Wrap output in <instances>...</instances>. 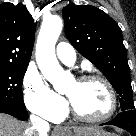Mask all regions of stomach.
I'll return each instance as SVG.
<instances>
[{
    "label": "stomach",
    "instance_id": "stomach-1",
    "mask_svg": "<svg viewBox=\"0 0 136 136\" xmlns=\"http://www.w3.org/2000/svg\"><path fill=\"white\" fill-rule=\"evenodd\" d=\"M59 136H113L112 134L110 133H107L103 130H100V129H94L90 132H86V133H74L72 134L71 132L67 131V132H64L62 134H59Z\"/></svg>",
    "mask_w": 136,
    "mask_h": 136
}]
</instances>
